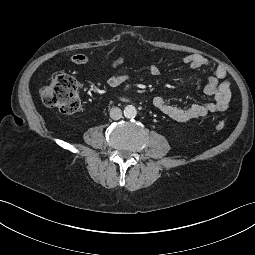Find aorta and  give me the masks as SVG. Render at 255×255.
<instances>
[{
	"instance_id": "762f6f07",
	"label": "aorta",
	"mask_w": 255,
	"mask_h": 255,
	"mask_svg": "<svg viewBox=\"0 0 255 255\" xmlns=\"http://www.w3.org/2000/svg\"><path fill=\"white\" fill-rule=\"evenodd\" d=\"M137 115V110L136 108L133 106V105H127L125 108H124V116L126 118H135Z\"/></svg>"
}]
</instances>
